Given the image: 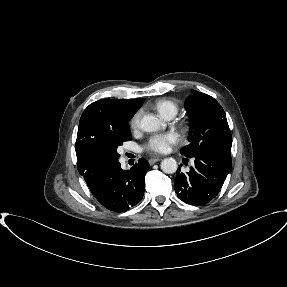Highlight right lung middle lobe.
Returning a JSON list of instances; mask_svg holds the SVG:
<instances>
[{"label": "right lung middle lobe", "instance_id": "dd1d6c3e", "mask_svg": "<svg viewBox=\"0 0 287 287\" xmlns=\"http://www.w3.org/2000/svg\"><path fill=\"white\" fill-rule=\"evenodd\" d=\"M130 139L131 133L128 126L121 131L111 133L107 137H105L102 140L101 145L102 161L105 164L117 161L120 156L117 153L118 146L122 145L124 141H129Z\"/></svg>", "mask_w": 287, "mask_h": 287}]
</instances>
